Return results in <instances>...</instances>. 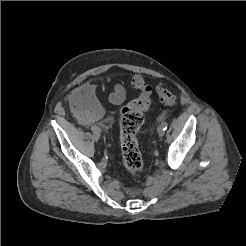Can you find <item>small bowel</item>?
Listing matches in <instances>:
<instances>
[{
	"instance_id": "small-bowel-1",
	"label": "small bowel",
	"mask_w": 246,
	"mask_h": 246,
	"mask_svg": "<svg viewBox=\"0 0 246 246\" xmlns=\"http://www.w3.org/2000/svg\"><path fill=\"white\" fill-rule=\"evenodd\" d=\"M125 89L121 84H116L113 91L108 95L109 102L118 106L125 100ZM70 106L77 121L83 126H89L97 122L103 108L96 95V86L87 82L77 87L71 95Z\"/></svg>"
}]
</instances>
